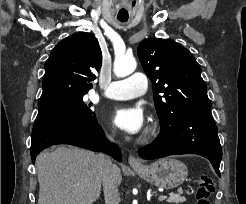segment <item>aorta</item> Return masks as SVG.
Wrapping results in <instances>:
<instances>
[{
	"mask_svg": "<svg viewBox=\"0 0 246 204\" xmlns=\"http://www.w3.org/2000/svg\"><path fill=\"white\" fill-rule=\"evenodd\" d=\"M136 60L133 56L116 57L114 62V73L118 77H125L136 69Z\"/></svg>",
	"mask_w": 246,
	"mask_h": 204,
	"instance_id": "aorta-1",
	"label": "aorta"
}]
</instances>
